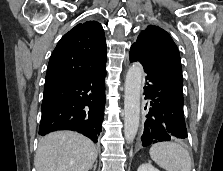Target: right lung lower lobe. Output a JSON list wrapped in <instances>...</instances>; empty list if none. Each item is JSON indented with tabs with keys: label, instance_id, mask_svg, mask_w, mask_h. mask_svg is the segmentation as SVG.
Returning <instances> with one entry per match:
<instances>
[{
	"label": "right lung lower lobe",
	"instance_id": "98d812e1",
	"mask_svg": "<svg viewBox=\"0 0 223 171\" xmlns=\"http://www.w3.org/2000/svg\"><path fill=\"white\" fill-rule=\"evenodd\" d=\"M105 76L104 67L83 80L44 90L39 134L73 130L96 143L104 118Z\"/></svg>",
	"mask_w": 223,
	"mask_h": 171
}]
</instances>
